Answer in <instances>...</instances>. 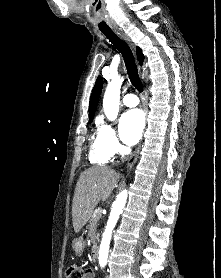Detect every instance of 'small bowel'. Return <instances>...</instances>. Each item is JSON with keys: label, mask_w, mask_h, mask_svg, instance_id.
<instances>
[{"label": "small bowel", "mask_w": 221, "mask_h": 278, "mask_svg": "<svg viewBox=\"0 0 221 278\" xmlns=\"http://www.w3.org/2000/svg\"><path fill=\"white\" fill-rule=\"evenodd\" d=\"M84 278H94V273L91 269L85 270V276Z\"/></svg>", "instance_id": "small-bowel-1"}]
</instances>
